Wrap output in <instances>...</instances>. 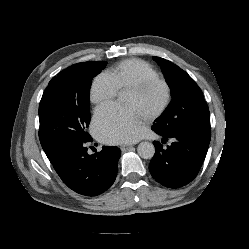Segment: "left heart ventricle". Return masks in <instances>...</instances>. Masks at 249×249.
Here are the masks:
<instances>
[{
    "mask_svg": "<svg viewBox=\"0 0 249 249\" xmlns=\"http://www.w3.org/2000/svg\"><path fill=\"white\" fill-rule=\"evenodd\" d=\"M165 98V90L162 85L155 84L141 94L128 91L126 96V106L133 108L141 118L156 111Z\"/></svg>",
    "mask_w": 249,
    "mask_h": 249,
    "instance_id": "left-heart-ventricle-1",
    "label": "left heart ventricle"
}]
</instances>
